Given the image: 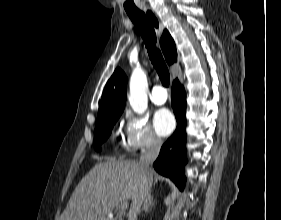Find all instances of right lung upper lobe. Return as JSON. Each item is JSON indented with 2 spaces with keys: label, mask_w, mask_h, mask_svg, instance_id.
Instances as JSON below:
<instances>
[{
  "label": "right lung upper lobe",
  "mask_w": 281,
  "mask_h": 220,
  "mask_svg": "<svg viewBox=\"0 0 281 220\" xmlns=\"http://www.w3.org/2000/svg\"><path fill=\"white\" fill-rule=\"evenodd\" d=\"M161 48L168 64L177 61L175 43L167 30H164L161 37ZM126 82L127 77L125 73L120 68H116L105 86L97 120L109 116L121 115L125 107Z\"/></svg>",
  "instance_id": "right-lung-upper-lobe-1"
}]
</instances>
